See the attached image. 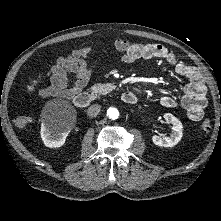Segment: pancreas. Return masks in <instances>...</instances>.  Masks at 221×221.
Returning <instances> with one entry per match:
<instances>
[{"label": "pancreas", "instance_id": "1", "mask_svg": "<svg viewBox=\"0 0 221 221\" xmlns=\"http://www.w3.org/2000/svg\"><path fill=\"white\" fill-rule=\"evenodd\" d=\"M110 90L111 89L109 84L98 83L90 88V93L93 98H97L101 94H107L108 92H110Z\"/></svg>", "mask_w": 221, "mask_h": 221}]
</instances>
